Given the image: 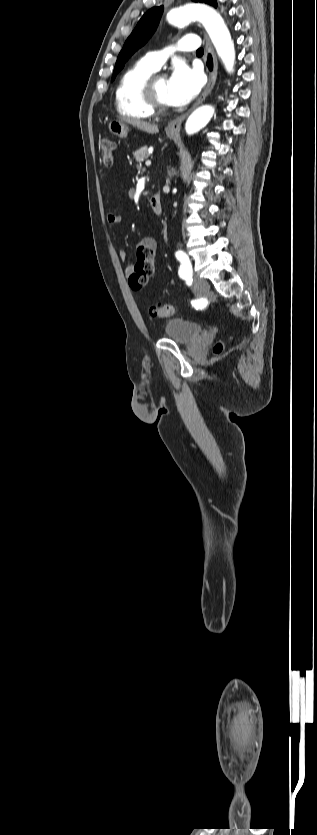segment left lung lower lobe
<instances>
[{
    "label": "left lung lower lobe",
    "mask_w": 317,
    "mask_h": 835,
    "mask_svg": "<svg viewBox=\"0 0 317 835\" xmlns=\"http://www.w3.org/2000/svg\"><path fill=\"white\" fill-rule=\"evenodd\" d=\"M207 65L209 66L210 69H212V59H211V57H209Z\"/></svg>",
    "instance_id": "obj_1"
}]
</instances>
